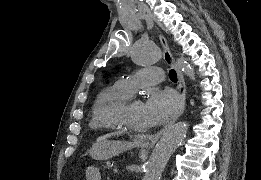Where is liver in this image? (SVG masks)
Segmentation results:
<instances>
[{"label": "liver", "instance_id": "1", "mask_svg": "<svg viewBox=\"0 0 261 180\" xmlns=\"http://www.w3.org/2000/svg\"><path fill=\"white\" fill-rule=\"evenodd\" d=\"M120 134H124V132H112V134H105V136H100L97 142H102V140H106V138H111V136H120Z\"/></svg>", "mask_w": 261, "mask_h": 180}]
</instances>
